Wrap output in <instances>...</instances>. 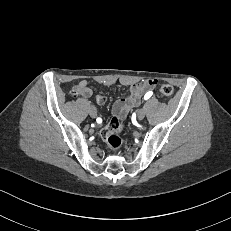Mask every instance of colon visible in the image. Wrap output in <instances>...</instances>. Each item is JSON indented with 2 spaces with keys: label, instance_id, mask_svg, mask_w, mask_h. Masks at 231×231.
<instances>
[{
  "label": "colon",
  "instance_id": "colon-1",
  "mask_svg": "<svg viewBox=\"0 0 231 231\" xmlns=\"http://www.w3.org/2000/svg\"><path fill=\"white\" fill-rule=\"evenodd\" d=\"M159 89L160 92L166 97H170L174 93L173 87L169 84H161ZM122 129V119L117 116H114L102 129L101 137L111 150H118L122 146V139L120 137Z\"/></svg>",
  "mask_w": 231,
  "mask_h": 231
}]
</instances>
